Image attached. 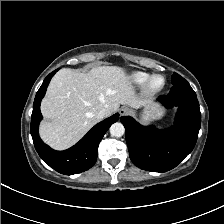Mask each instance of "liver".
<instances>
[{
    "instance_id": "obj_1",
    "label": "liver",
    "mask_w": 224,
    "mask_h": 224,
    "mask_svg": "<svg viewBox=\"0 0 224 224\" xmlns=\"http://www.w3.org/2000/svg\"><path fill=\"white\" fill-rule=\"evenodd\" d=\"M120 104L133 108L145 104L124 68L99 66L86 73L63 68L52 78L42 100L46 120L40 124V136L52 148L64 150L99 122L102 108L110 116Z\"/></svg>"
}]
</instances>
